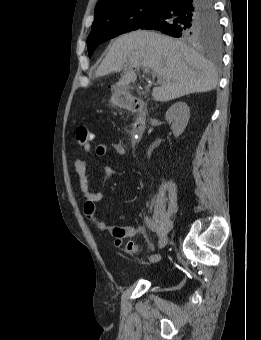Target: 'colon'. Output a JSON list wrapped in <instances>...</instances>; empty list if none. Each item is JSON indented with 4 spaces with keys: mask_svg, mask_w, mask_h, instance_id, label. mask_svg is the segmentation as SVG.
I'll list each match as a JSON object with an SVG mask.
<instances>
[{
    "mask_svg": "<svg viewBox=\"0 0 261 340\" xmlns=\"http://www.w3.org/2000/svg\"><path fill=\"white\" fill-rule=\"evenodd\" d=\"M74 138L77 144L82 146L86 142L93 140L95 138V135L91 133L86 126L79 125L74 131ZM115 245L117 247H122L123 251L128 254H134L138 250L134 242H127L122 246V240L119 238H115Z\"/></svg>",
    "mask_w": 261,
    "mask_h": 340,
    "instance_id": "obj_1",
    "label": "colon"
}]
</instances>
